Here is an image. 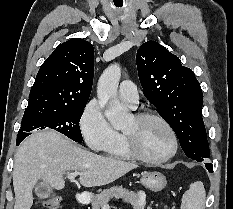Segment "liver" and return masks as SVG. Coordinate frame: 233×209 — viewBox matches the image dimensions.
Here are the masks:
<instances>
[{"instance_id": "6515ba94", "label": "liver", "mask_w": 233, "mask_h": 209, "mask_svg": "<svg viewBox=\"0 0 233 209\" xmlns=\"http://www.w3.org/2000/svg\"><path fill=\"white\" fill-rule=\"evenodd\" d=\"M136 164L107 158L81 148L55 131L30 135L18 148L13 169L14 209H30L33 188L38 180L55 189H63V174L80 173L84 187H96L114 182L137 168Z\"/></svg>"}]
</instances>
